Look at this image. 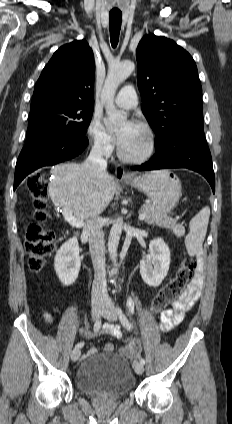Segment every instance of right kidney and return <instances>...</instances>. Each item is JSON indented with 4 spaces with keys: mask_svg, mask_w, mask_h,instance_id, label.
Instances as JSON below:
<instances>
[{
    "mask_svg": "<svg viewBox=\"0 0 232 424\" xmlns=\"http://www.w3.org/2000/svg\"><path fill=\"white\" fill-rule=\"evenodd\" d=\"M81 260L79 245L75 237L66 241L57 251L54 259L56 274L64 286L73 284L79 274Z\"/></svg>",
    "mask_w": 232,
    "mask_h": 424,
    "instance_id": "obj_1",
    "label": "right kidney"
}]
</instances>
